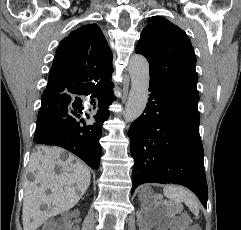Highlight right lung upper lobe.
<instances>
[{
	"label": "right lung upper lobe",
	"instance_id": "1",
	"mask_svg": "<svg viewBox=\"0 0 241 230\" xmlns=\"http://www.w3.org/2000/svg\"><path fill=\"white\" fill-rule=\"evenodd\" d=\"M112 60V52L99 26L83 25L60 42L46 90L59 93L71 84L111 80Z\"/></svg>",
	"mask_w": 241,
	"mask_h": 230
}]
</instances>
